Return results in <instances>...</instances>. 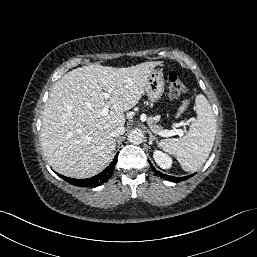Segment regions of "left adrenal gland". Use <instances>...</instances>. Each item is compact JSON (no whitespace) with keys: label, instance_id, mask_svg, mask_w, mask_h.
<instances>
[{"label":"left adrenal gland","instance_id":"a2214340","mask_svg":"<svg viewBox=\"0 0 257 257\" xmlns=\"http://www.w3.org/2000/svg\"><path fill=\"white\" fill-rule=\"evenodd\" d=\"M148 134H149V145L152 144L153 141L158 142V140L156 139V137L152 134L151 131L147 130Z\"/></svg>","mask_w":257,"mask_h":257}]
</instances>
